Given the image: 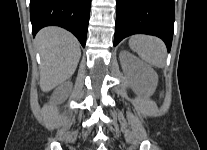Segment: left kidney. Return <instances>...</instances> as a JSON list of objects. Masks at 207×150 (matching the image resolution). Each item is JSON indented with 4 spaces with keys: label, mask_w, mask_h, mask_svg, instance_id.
Instances as JSON below:
<instances>
[{
    "label": "left kidney",
    "mask_w": 207,
    "mask_h": 150,
    "mask_svg": "<svg viewBox=\"0 0 207 150\" xmlns=\"http://www.w3.org/2000/svg\"><path fill=\"white\" fill-rule=\"evenodd\" d=\"M120 61L122 69L126 74H131L133 68H136L139 71L142 79L141 94L147 98L152 96L158 82L156 72L150 66L144 64L135 56L126 51H122L120 53Z\"/></svg>",
    "instance_id": "1"
}]
</instances>
